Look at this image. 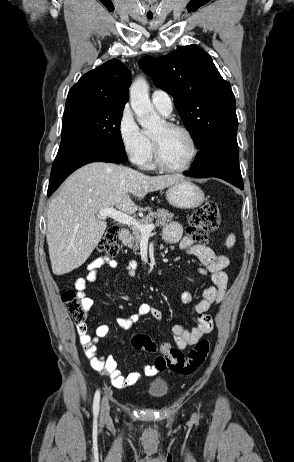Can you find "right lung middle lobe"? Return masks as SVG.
Returning a JSON list of instances; mask_svg holds the SVG:
<instances>
[{
    "instance_id": "right-lung-middle-lobe-1",
    "label": "right lung middle lobe",
    "mask_w": 294,
    "mask_h": 462,
    "mask_svg": "<svg viewBox=\"0 0 294 462\" xmlns=\"http://www.w3.org/2000/svg\"><path fill=\"white\" fill-rule=\"evenodd\" d=\"M123 109L124 105L109 103L66 105L57 155L104 147L124 149L120 133Z\"/></svg>"
}]
</instances>
